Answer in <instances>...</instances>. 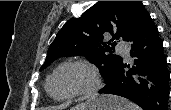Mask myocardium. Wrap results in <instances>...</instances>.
<instances>
[{"mask_svg":"<svg viewBox=\"0 0 171 110\" xmlns=\"http://www.w3.org/2000/svg\"><path fill=\"white\" fill-rule=\"evenodd\" d=\"M67 67H80L86 70L91 77L90 84L64 97H56L52 94L50 90L51 80L60 70L67 68ZM101 87H102V78H101L100 73L93 65L83 60H68V61L61 63L48 76L46 80V84H45L47 93L49 94L51 98H53L56 101H69L78 97H90V96L95 95L101 89Z\"/></svg>","mask_w":171,"mask_h":110,"instance_id":"obj_1","label":"myocardium"}]
</instances>
